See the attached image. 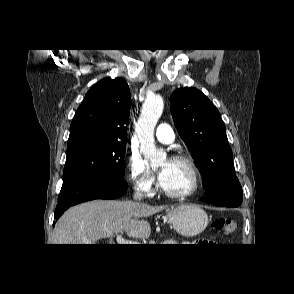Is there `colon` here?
I'll list each match as a JSON object with an SVG mask.
<instances>
[{"label":"colon","instance_id":"5ec220e1","mask_svg":"<svg viewBox=\"0 0 294 294\" xmlns=\"http://www.w3.org/2000/svg\"><path fill=\"white\" fill-rule=\"evenodd\" d=\"M213 227L225 235H231L237 228V222L230 218H217L213 221Z\"/></svg>","mask_w":294,"mask_h":294}]
</instances>
